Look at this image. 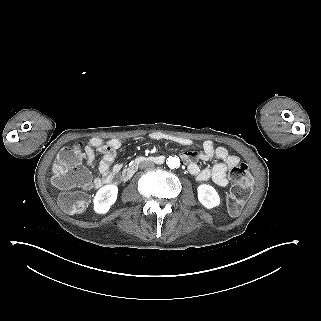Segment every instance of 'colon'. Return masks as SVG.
I'll list each match as a JSON object with an SVG mask.
<instances>
[{
  "mask_svg": "<svg viewBox=\"0 0 321 321\" xmlns=\"http://www.w3.org/2000/svg\"><path fill=\"white\" fill-rule=\"evenodd\" d=\"M86 144L76 141L63 148L57 155L53 165L55 184L63 189L79 187L78 190L64 192L60 196V205L69 214H81L88 201L89 174L81 167ZM230 178L234 182L228 197L229 212L237 216L252 193L253 179L246 164L239 162L230 169Z\"/></svg>",
  "mask_w": 321,
  "mask_h": 321,
  "instance_id": "obj_1",
  "label": "colon"
}]
</instances>
